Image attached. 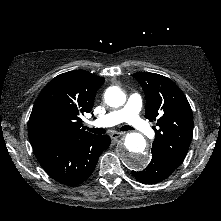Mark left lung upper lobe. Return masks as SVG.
Here are the masks:
<instances>
[{
	"label": "left lung upper lobe",
	"instance_id": "obj_1",
	"mask_svg": "<svg viewBox=\"0 0 221 221\" xmlns=\"http://www.w3.org/2000/svg\"><path fill=\"white\" fill-rule=\"evenodd\" d=\"M133 77L146 96L145 117L156 121L151 152L176 169L185 159L193 136V114L181 89L169 78L149 72Z\"/></svg>",
	"mask_w": 221,
	"mask_h": 221
}]
</instances>
